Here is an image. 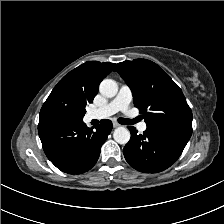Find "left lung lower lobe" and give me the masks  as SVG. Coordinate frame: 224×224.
<instances>
[{
  "label": "left lung lower lobe",
  "mask_w": 224,
  "mask_h": 224,
  "mask_svg": "<svg viewBox=\"0 0 224 224\" xmlns=\"http://www.w3.org/2000/svg\"><path fill=\"white\" fill-rule=\"evenodd\" d=\"M124 146L126 161L138 171L156 173L170 167L181 155L192 130L171 126H147L141 135L134 127Z\"/></svg>",
  "instance_id": "1"
}]
</instances>
